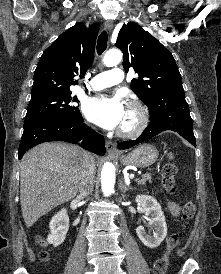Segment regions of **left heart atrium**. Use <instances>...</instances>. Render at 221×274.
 Masks as SVG:
<instances>
[{
    "mask_svg": "<svg viewBox=\"0 0 221 274\" xmlns=\"http://www.w3.org/2000/svg\"><path fill=\"white\" fill-rule=\"evenodd\" d=\"M83 111L88 120L108 130L120 127L125 115V107L119 96L89 98Z\"/></svg>",
    "mask_w": 221,
    "mask_h": 274,
    "instance_id": "obj_1",
    "label": "left heart atrium"
}]
</instances>
